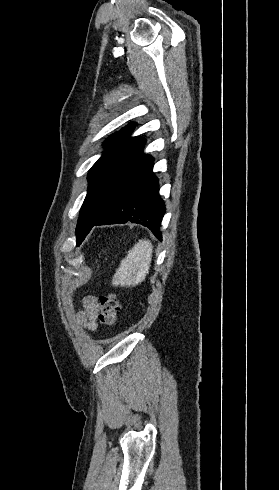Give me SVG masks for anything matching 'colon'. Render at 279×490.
Instances as JSON below:
<instances>
[{"label":"colon","instance_id":"5ec220e1","mask_svg":"<svg viewBox=\"0 0 279 490\" xmlns=\"http://www.w3.org/2000/svg\"><path fill=\"white\" fill-rule=\"evenodd\" d=\"M120 301L115 293H106L101 296V307L98 314L99 322L104 326H113L117 323L120 311Z\"/></svg>","mask_w":279,"mask_h":490}]
</instances>
